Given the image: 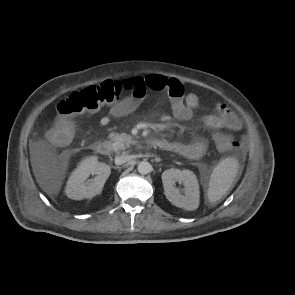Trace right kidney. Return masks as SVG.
I'll list each match as a JSON object with an SVG mask.
<instances>
[{"instance_id": "1", "label": "right kidney", "mask_w": 295, "mask_h": 295, "mask_svg": "<svg viewBox=\"0 0 295 295\" xmlns=\"http://www.w3.org/2000/svg\"><path fill=\"white\" fill-rule=\"evenodd\" d=\"M110 173V167L106 163L98 162L96 156L87 157L71 173L65 193L73 200L92 198L102 192ZM91 174L95 177L88 179Z\"/></svg>"}]
</instances>
